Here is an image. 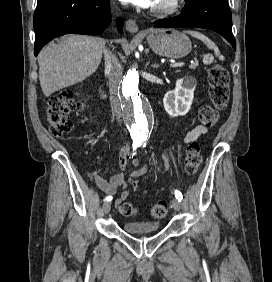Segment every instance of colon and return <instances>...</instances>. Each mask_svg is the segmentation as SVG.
I'll use <instances>...</instances> for the list:
<instances>
[{"instance_id": "colon-1", "label": "colon", "mask_w": 272, "mask_h": 282, "mask_svg": "<svg viewBox=\"0 0 272 282\" xmlns=\"http://www.w3.org/2000/svg\"><path fill=\"white\" fill-rule=\"evenodd\" d=\"M229 73L221 65H214L209 72V94L212 105L203 106L199 111V122L203 126H213L220 118V114L228 105L230 88ZM83 105L71 93H62L52 97L46 110V119L50 126V132L53 136L62 138L70 133L72 122L67 115L73 111L82 110ZM202 161L201 147L198 142H192L187 146L184 159L185 171L188 175L196 174ZM135 179H129L134 182ZM118 210L124 216H134L137 214L135 207L123 202ZM168 204L165 201L155 203L151 209L154 218H163L166 216Z\"/></svg>"}]
</instances>
